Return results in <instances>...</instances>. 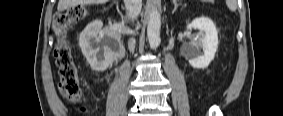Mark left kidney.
Wrapping results in <instances>:
<instances>
[{
	"label": "left kidney",
	"mask_w": 283,
	"mask_h": 116,
	"mask_svg": "<svg viewBox=\"0 0 283 116\" xmlns=\"http://www.w3.org/2000/svg\"><path fill=\"white\" fill-rule=\"evenodd\" d=\"M195 28L200 34L189 44L185 57L194 68L203 69L209 66L215 57L218 47V31L213 21L199 17L187 24V29Z\"/></svg>",
	"instance_id": "left-kidney-1"
}]
</instances>
